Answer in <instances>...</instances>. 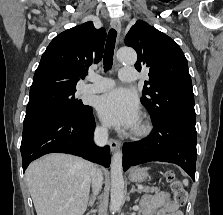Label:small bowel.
Listing matches in <instances>:
<instances>
[{
    "instance_id": "obj_1",
    "label": "small bowel",
    "mask_w": 223,
    "mask_h": 215,
    "mask_svg": "<svg viewBox=\"0 0 223 215\" xmlns=\"http://www.w3.org/2000/svg\"><path fill=\"white\" fill-rule=\"evenodd\" d=\"M143 215H183V213L171 199L170 194L162 190L145 198Z\"/></svg>"
}]
</instances>
